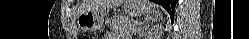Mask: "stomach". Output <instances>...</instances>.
<instances>
[{"instance_id":"obj_1","label":"stomach","mask_w":249,"mask_h":39,"mask_svg":"<svg viewBox=\"0 0 249 39\" xmlns=\"http://www.w3.org/2000/svg\"><path fill=\"white\" fill-rule=\"evenodd\" d=\"M124 10L131 16H141L148 12V6L143 0H125ZM105 9L97 8L79 15L78 26L84 32L99 30L104 23Z\"/></svg>"}]
</instances>
